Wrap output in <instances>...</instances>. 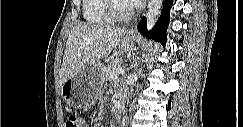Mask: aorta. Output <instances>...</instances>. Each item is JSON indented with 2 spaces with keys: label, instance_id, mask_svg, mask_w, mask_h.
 Returning a JSON list of instances; mask_svg holds the SVG:
<instances>
[{
  "label": "aorta",
  "instance_id": "aorta-1",
  "mask_svg": "<svg viewBox=\"0 0 243 127\" xmlns=\"http://www.w3.org/2000/svg\"><path fill=\"white\" fill-rule=\"evenodd\" d=\"M163 0H149L148 11L146 16L147 30H151L154 26L157 17L159 15L160 9L162 7ZM127 120V116H123L122 126L124 127Z\"/></svg>",
  "mask_w": 243,
  "mask_h": 127
}]
</instances>
